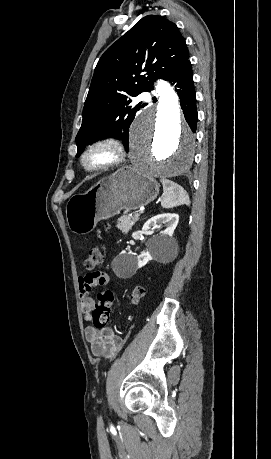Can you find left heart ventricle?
Segmentation results:
<instances>
[{"mask_svg":"<svg viewBox=\"0 0 271 459\" xmlns=\"http://www.w3.org/2000/svg\"><path fill=\"white\" fill-rule=\"evenodd\" d=\"M111 155L112 148L109 145H99L90 152L86 163L88 166H94L107 160Z\"/></svg>","mask_w":271,"mask_h":459,"instance_id":"left-heart-ventricle-1","label":"left heart ventricle"}]
</instances>
